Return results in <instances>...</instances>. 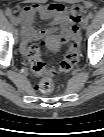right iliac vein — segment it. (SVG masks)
I'll use <instances>...</instances> for the list:
<instances>
[{"mask_svg":"<svg viewBox=\"0 0 104 137\" xmlns=\"http://www.w3.org/2000/svg\"><path fill=\"white\" fill-rule=\"evenodd\" d=\"M10 20L15 26H17L19 24L17 17L14 15L10 17Z\"/></svg>","mask_w":104,"mask_h":137,"instance_id":"63e3f726","label":"right iliac vein"}]
</instances>
